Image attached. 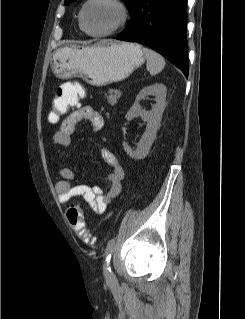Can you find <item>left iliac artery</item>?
I'll return each instance as SVG.
<instances>
[{"instance_id": "44dca946", "label": "left iliac artery", "mask_w": 245, "mask_h": 319, "mask_svg": "<svg viewBox=\"0 0 245 319\" xmlns=\"http://www.w3.org/2000/svg\"><path fill=\"white\" fill-rule=\"evenodd\" d=\"M114 247H115V240L114 239L109 240L105 250V255H106L105 265H104L105 276H111V268L109 267V263L114 251Z\"/></svg>"}]
</instances>
